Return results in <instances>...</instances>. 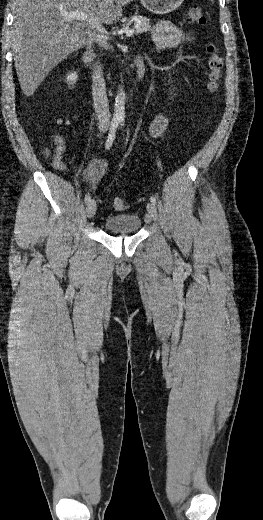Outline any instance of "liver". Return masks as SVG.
<instances>
[{
	"mask_svg": "<svg viewBox=\"0 0 263 520\" xmlns=\"http://www.w3.org/2000/svg\"><path fill=\"white\" fill-rule=\"evenodd\" d=\"M133 0H15L11 42L23 93L33 95L63 59L91 42L98 29L90 24H113L122 7ZM84 13L88 21L68 20L63 14Z\"/></svg>",
	"mask_w": 263,
	"mask_h": 520,
	"instance_id": "6515ba94",
	"label": "liver"
}]
</instances>
